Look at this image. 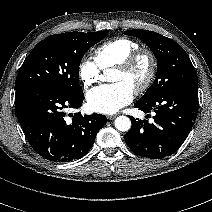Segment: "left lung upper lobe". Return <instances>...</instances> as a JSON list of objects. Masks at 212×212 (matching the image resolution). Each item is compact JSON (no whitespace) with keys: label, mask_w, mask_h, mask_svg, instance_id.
<instances>
[{"label":"left lung upper lobe","mask_w":212,"mask_h":212,"mask_svg":"<svg viewBox=\"0 0 212 212\" xmlns=\"http://www.w3.org/2000/svg\"><path fill=\"white\" fill-rule=\"evenodd\" d=\"M144 41L157 59V77L151 87L138 100L147 103L170 90L198 82L196 71L185 50L174 40L148 30L124 32Z\"/></svg>","instance_id":"left-lung-upper-lobe-1"}]
</instances>
